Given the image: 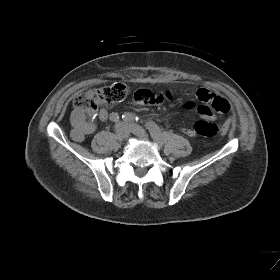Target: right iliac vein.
Listing matches in <instances>:
<instances>
[{
	"mask_svg": "<svg viewBox=\"0 0 280 280\" xmlns=\"http://www.w3.org/2000/svg\"><path fill=\"white\" fill-rule=\"evenodd\" d=\"M117 131H118V134H119L122 138L126 139V138L129 137L130 129H129V127H128L126 124H121V125H119Z\"/></svg>",
	"mask_w": 280,
	"mask_h": 280,
	"instance_id": "obj_1",
	"label": "right iliac vein"
}]
</instances>
